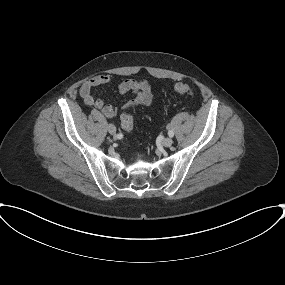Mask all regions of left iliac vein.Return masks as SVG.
I'll return each mask as SVG.
<instances>
[{
    "mask_svg": "<svg viewBox=\"0 0 285 285\" xmlns=\"http://www.w3.org/2000/svg\"><path fill=\"white\" fill-rule=\"evenodd\" d=\"M163 145L165 146V147H170L171 145H172V143H173V140H172V138L171 137H167V138H165L164 140H163Z\"/></svg>",
    "mask_w": 285,
    "mask_h": 285,
    "instance_id": "4c4485c4",
    "label": "left iliac vein"
}]
</instances>
